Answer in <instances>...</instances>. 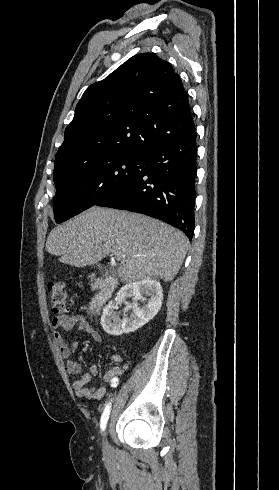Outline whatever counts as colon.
Here are the masks:
<instances>
[{
  "label": "colon",
  "instance_id": "5ec220e1",
  "mask_svg": "<svg viewBox=\"0 0 279 490\" xmlns=\"http://www.w3.org/2000/svg\"><path fill=\"white\" fill-rule=\"evenodd\" d=\"M50 303L55 313L63 315L67 312V294L64 284L60 281H52L48 285Z\"/></svg>",
  "mask_w": 279,
  "mask_h": 490
}]
</instances>
